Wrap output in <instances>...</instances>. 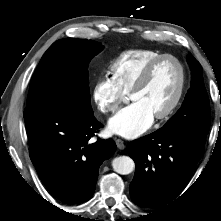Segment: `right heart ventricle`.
Masks as SVG:
<instances>
[{
	"label": "right heart ventricle",
	"instance_id": "obj_1",
	"mask_svg": "<svg viewBox=\"0 0 221 221\" xmlns=\"http://www.w3.org/2000/svg\"><path fill=\"white\" fill-rule=\"evenodd\" d=\"M163 55L150 49H131L122 52L109 65L112 81L125 93H129L137 78L153 59Z\"/></svg>",
	"mask_w": 221,
	"mask_h": 221
}]
</instances>
